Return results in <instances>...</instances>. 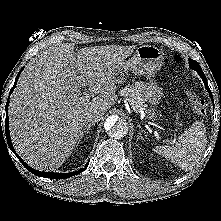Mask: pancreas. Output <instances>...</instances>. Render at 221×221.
<instances>
[{
  "label": "pancreas",
  "mask_w": 221,
  "mask_h": 221,
  "mask_svg": "<svg viewBox=\"0 0 221 221\" xmlns=\"http://www.w3.org/2000/svg\"><path fill=\"white\" fill-rule=\"evenodd\" d=\"M119 94L126 98L135 112L146 109L145 98L140 90V85H127L123 87Z\"/></svg>",
  "instance_id": "cf45deb5"
}]
</instances>
